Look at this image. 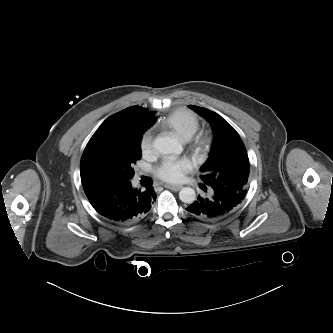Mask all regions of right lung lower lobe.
Listing matches in <instances>:
<instances>
[{"mask_svg": "<svg viewBox=\"0 0 333 333\" xmlns=\"http://www.w3.org/2000/svg\"><path fill=\"white\" fill-rule=\"evenodd\" d=\"M84 192L95 210L116 224H132L151 209L156 193L152 187L145 191L134 189L130 181L109 180L83 184Z\"/></svg>", "mask_w": 333, "mask_h": 333, "instance_id": "1", "label": "right lung lower lobe"}]
</instances>
